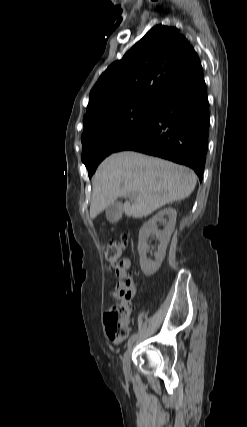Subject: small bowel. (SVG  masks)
<instances>
[{
    "mask_svg": "<svg viewBox=\"0 0 247 427\" xmlns=\"http://www.w3.org/2000/svg\"><path fill=\"white\" fill-rule=\"evenodd\" d=\"M131 265L132 260L130 258H123L111 266L117 277L113 294L117 301L129 300L135 295L136 285L133 278L128 273Z\"/></svg>",
    "mask_w": 247,
    "mask_h": 427,
    "instance_id": "1",
    "label": "small bowel"
}]
</instances>
